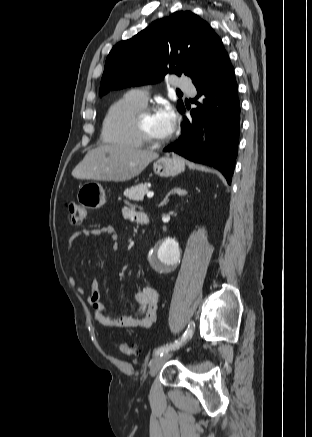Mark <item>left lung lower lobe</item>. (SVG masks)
<instances>
[{
	"label": "left lung lower lobe",
	"instance_id": "obj_1",
	"mask_svg": "<svg viewBox=\"0 0 312 437\" xmlns=\"http://www.w3.org/2000/svg\"><path fill=\"white\" fill-rule=\"evenodd\" d=\"M205 96L192 119L184 118L182 135L164 149L198 163L217 168L231 183L240 132V102L234 70L226 51L209 72L194 84ZM185 108L181 111L183 113Z\"/></svg>",
	"mask_w": 312,
	"mask_h": 437
}]
</instances>
